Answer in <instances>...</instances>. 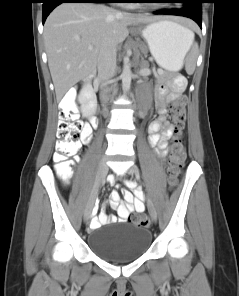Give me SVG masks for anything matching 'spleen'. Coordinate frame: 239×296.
<instances>
[{"label": "spleen", "mask_w": 239, "mask_h": 296, "mask_svg": "<svg viewBox=\"0 0 239 296\" xmlns=\"http://www.w3.org/2000/svg\"><path fill=\"white\" fill-rule=\"evenodd\" d=\"M189 37L191 39V45L193 43V39H194V33L192 31L189 30ZM190 45V46H191ZM190 48V47H189ZM189 50V49H188ZM196 47L192 50V53H191V56L190 58L188 59L187 61V64H186V71L189 73V74H192L194 69H195V60H196Z\"/></svg>", "instance_id": "spleen-1"}]
</instances>
